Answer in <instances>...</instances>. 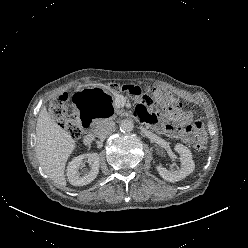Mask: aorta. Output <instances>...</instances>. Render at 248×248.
Here are the masks:
<instances>
[{"label": "aorta", "instance_id": "762f6f07", "mask_svg": "<svg viewBox=\"0 0 248 248\" xmlns=\"http://www.w3.org/2000/svg\"><path fill=\"white\" fill-rule=\"evenodd\" d=\"M134 128V124L129 119H124L120 122V130L123 133H130Z\"/></svg>", "mask_w": 248, "mask_h": 248}]
</instances>
